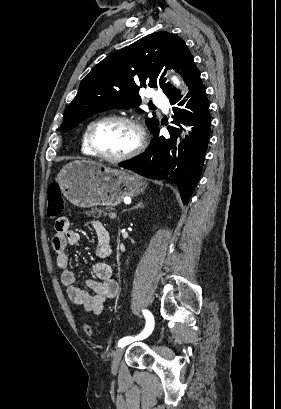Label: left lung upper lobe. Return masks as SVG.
Instances as JSON below:
<instances>
[{"label":"left lung upper lobe","instance_id":"obj_1","mask_svg":"<svg viewBox=\"0 0 281 409\" xmlns=\"http://www.w3.org/2000/svg\"><path fill=\"white\" fill-rule=\"evenodd\" d=\"M164 66L179 71L187 84L197 69L185 42L166 31L147 35L105 58L82 80L64 113L61 130H70L98 112L139 106L140 87L159 86L169 99L179 94L165 83V72L161 73ZM147 125L153 133L158 120L148 118Z\"/></svg>","mask_w":281,"mask_h":409}]
</instances>
